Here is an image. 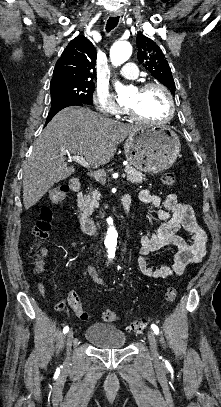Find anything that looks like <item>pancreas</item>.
Returning <instances> with one entry per match:
<instances>
[{
  "label": "pancreas",
  "mask_w": 221,
  "mask_h": 407,
  "mask_svg": "<svg viewBox=\"0 0 221 407\" xmlns=\"http://www.w3.org/2000/svg\"><path fill=\"white\" fill-rule=\"evenodd\" d=\"M124 171L127 173V181H129L131 183H142L143 181H145V175L130 165H127L125 167ZM99 198H100V194L97 190L93 191L91 194L85 196V203H86L85 210L89 214H92L94 209L98 208Z\"/></svg>",
  "instance_id": "cf45deb5"
}]
</instances>
